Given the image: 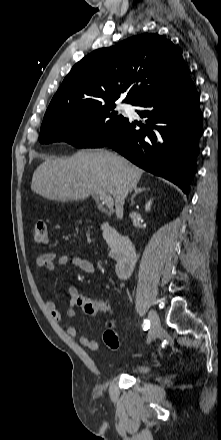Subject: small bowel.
<instances>
[{"mask_svg":"<svg viewBox=\"0 0 221 440\" xmlns=\"http://www.w3.org/2000/svg\"><path fill=\"white\" fill-rule=\"evenodd\" d=\"M71 265L74 267L79 268L83 272L87 274L94 273V265L87 259H84L77 255L72 254H64L62 256L57 257L56 253L53 251H48L45 253L40 254L36 260H35V266H34V277L37 281H40V275L42 270H55L59 267ZM66 294L70 299L69 306L66 310L67 317H73L75 315V310L77 305V300L81 296L79 293L78 288L73 285L69 284L66 287ZM45 307L47 311L50 313L51 317L58 323L63 322V316L61 312L58 310L57 306L52 301H45ZM66 333L68 336L72 338L78 337V330L74 326H67L66 327ZM80 343L91 349L96 350L98 348V342L94 339H91L88 336L82 335L79 337Z\"/></svg>","mask_w":221,"mask_h":440,"instance_id":"c3829d8e","label":"small bowel"}]
</instances>
